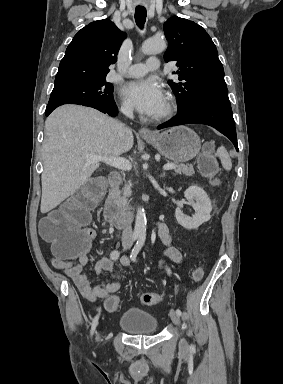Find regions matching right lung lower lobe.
Listing matches in <instances>:
<instances>
[{"label":"right lung lower lobe","mask_w":283,"mask_h":384,"mask_svg":"<svg viewBox=\"0 0 283 384\" xmlns=\"http://www.w3.org/2000/svg\"><path fill=\"white\" fill-rule=\"evenodd\" d=\"M82 105L93 107L103 113H108L110 116H113V117L116 116L118 113V109L114 100L106 103H86ZM55 108L56 107H47L45 112L46 116H48Z\"/></svg>","instance_id":"right-lung-lower-lobe-1"}]
</instances>
